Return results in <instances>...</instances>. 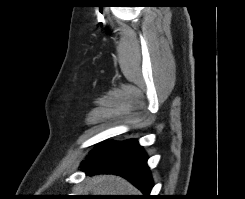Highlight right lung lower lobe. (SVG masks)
Segmentation results:
<instances>
[{"label":"right lung lower lobe","mask_w":245,"mask_h":199,"mask_svg":"<svg viewBox=\"0 0 245 199\" xmlns=\"http://www.w3.org/2000/svg\"><path fill=\"white\" fill-rule=\"evenodd\" d=\"M148 157L137 140L106 142L97 146L85 161L81 169L87 174H116L126 178L144 194L143 199H152L149 195L153 182L146 164Z\"/></svg>","instance_id":"obj_1"}]
</instances>
